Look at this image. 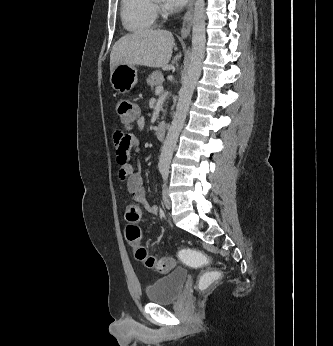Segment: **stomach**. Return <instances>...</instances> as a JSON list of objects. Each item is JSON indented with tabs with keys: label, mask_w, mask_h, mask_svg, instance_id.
<instances>
[{
	"label": "stomach",
	"mask_w": 333,
	"mask_h": 346,
	"mask_svg": "<svg viewBox=\"0 0 333 346\" xmlns=\"http://www.w3.org/2000/svg\"><path fill=\"white\" fill-rule=\"evenodd\" d=\"M137 69L134 65L120 64L110 73V83L121 94L129 92L137 83Z\"/></svg>",
	"instance_id": "stomach-1"
}]
</instances>
